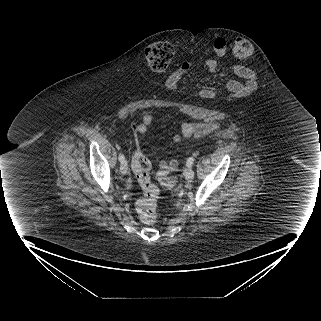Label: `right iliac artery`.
<instances>
[{"label":"right iliac artery","mask_w":321,"mask_h":321,"mask_svg":"<svg viewBox=\"0 0 321 321\" xmlns=\"http://www.w3.org/2000/svg\"><path fill=\"white\" fill-rule=\"evenodd\" d=\"M118 158H119V161H120V162H122V161L125 159V157H124L123 154H119V157H118Z\"/></svg>","instance_id":"1"}]
</instances>
